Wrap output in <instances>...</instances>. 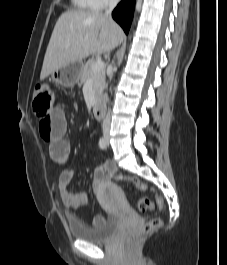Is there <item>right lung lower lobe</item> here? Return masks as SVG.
<instances>
[{"instance_id": "right-lung-lower-lobe-1", "label": "right lung lower lobe", "mask_w": 227, "mask_h": 265, "mask_svg": "<svg viewBox=\"0 0 227 265\" xmlns=\"http://www.w3.org/2000/svg\"><path fill=\"white\" fill-rule=\"evenodd\" d=\"M134 0L120 2L114 9L112 16L121 25L127 34L131 25L134 12Z\"/></svg>"}]
</instances>
